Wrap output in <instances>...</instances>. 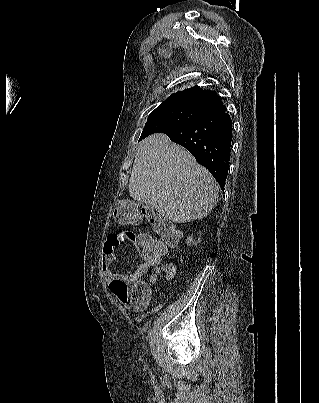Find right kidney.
<instances>
[{
    "mask_svg": "<svg viewBox=\"0 0 319 403\" xmlns=\"http://www.w3.org/2000/svg\"><path fill=\"white\" fill-rule=\"evenodd\" d=\"M200 235H201V233H200ZM199 241H200L199 239H198V241H194L192 237H188L186 240V243H187V245H191V243L193 245H197V243H199Z\"/></svg>",
    "mask_w": 319,
    "mask_h": 403,
    "instance_id": "1",
    "label": "right kidney"
}]
</instances>
